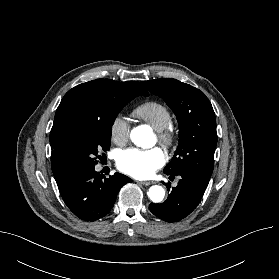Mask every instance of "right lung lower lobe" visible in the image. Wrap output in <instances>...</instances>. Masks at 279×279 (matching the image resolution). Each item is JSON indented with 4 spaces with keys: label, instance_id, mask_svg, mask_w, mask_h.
Masks as SVG:
<instances>
[{
    "label": "right lung lower lobe",
    "instance_id": "right-lung-lower-lobe-1",
    "mask_svg": "<svg viewBox=\"0 0 279 279\" xmlns=\"http://www.w3.org/2000/svg\"><path fill=\"white\" fill-rule=\"evenodd\" d=\"M132 180L120 173L106 178L94 167L73 174L61 187L60 194L67 207L84 221H96L114 206L120 188Z\"/></svg>",
    "mask_w": 279,
    "mask_h": 279
}]
</instances>
